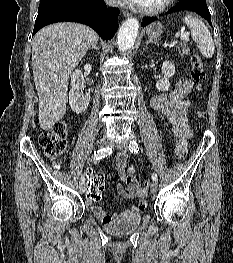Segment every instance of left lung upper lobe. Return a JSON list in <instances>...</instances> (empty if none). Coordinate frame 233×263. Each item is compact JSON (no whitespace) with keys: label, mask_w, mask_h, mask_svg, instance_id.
<instances>
[{"label":"left lung upper lobe","mask_w":233,"mask_h":263,"mask_svg":"<svg viewBox=\"0 0 233 263\" xmlns=\"http://www.w3.org/2000/svg\"><path fill=\"white\" fill-rule=\"evenodd\" d=\"M180 1V0H179ZM196 1H201V2H205L206 0H196Z\"/></svg>","instance_id":"left-lung-upper-lobe-1"}]
</instances>
